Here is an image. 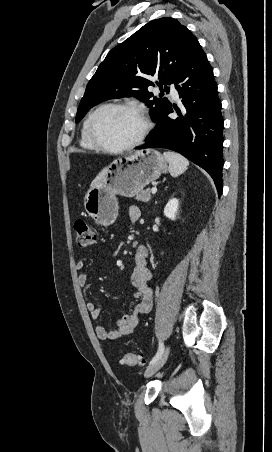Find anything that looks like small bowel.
Returning a JSON list of instances; mask_svg holds the SVG:
<instances>
[{"instance_id": "c3829d8e", "label": "small bowel", "mask_w": 272, "mask_h": 452, "mask_svg": "<svg viewBox=\"0 0 272 452\" xmlns=\"http://www.w3.org/2000/svg\"><path fill=\"white\" fill-rule=\"evenodd\" d=\"M128 220L131 223H136L140 218V209L137 206H130L127 210ZM148 249L144 245H139L136 248L134 263L135 267L131 275V283L135 288L134 298L139 299L140 302L136 304L130 312L126 313L121 319L117 321V329L107 330L102 325L95 327L96 336L103 341H113L120 337L130 335L136 329L139 316L146 314L151 310L153 302V289L149 285L152 277L151 270L148 267ZM85 268V263L79 261L76 263V269L82 271ZM81 285L89 283V276L86 273H81L78 277ZM87 308L90 312L91 318L94 321L100 318V308L95 301H89Z\"/></svg>"}]
</instances>
